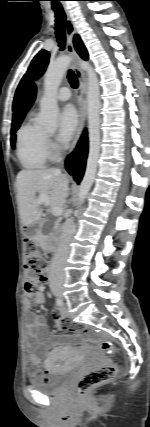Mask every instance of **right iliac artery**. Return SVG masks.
Segmentation results:
<instances>
[{"label":"right iliac artery","mask_w":150,"mask_h":427,"mask_svg":"<svg viewBox=\"0 0 150 427\" xmlns=\"http://www.w3.org/2000/svg\"><path fill=\"white\" fill-rule=\"evenodd\" d=\"M56 304H57L58 306H62V305H63V302H62V300H61L60 298H57V299H56Z\"/></svg>","instance_id":"82829eb1"}]
</instances>
